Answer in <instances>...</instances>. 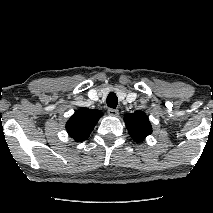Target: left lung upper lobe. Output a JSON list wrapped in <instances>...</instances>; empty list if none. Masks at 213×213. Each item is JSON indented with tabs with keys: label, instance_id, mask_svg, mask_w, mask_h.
<instances>
[{
	"label": "left lung upper lobe",
	"instance_id": "5c2ea615",
	"mask_svg": "<svg viewBox=\"0 0 213 213\" xmlns=\"http://www.w3.org/2000/svg\"><path fill=\"white\" fill-rule=\"evenodd\" d=\"M124 121L129 134L136 142L143 141L152 133L149 119L143 111L125 114Z\"/></svg>",
	"mask_w": 213,
	"mask_h": 213
}]
</instances>
